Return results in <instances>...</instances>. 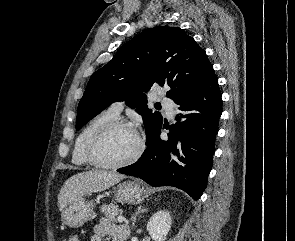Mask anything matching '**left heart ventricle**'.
<instances>
[{"instance_id":"left-heart-ventricle-1","label":"left heart ventricle","mask_w":295,"mask_h":241,"mask_svg":"<svg viewBox=\"0 0 295 241\" xmlns=\"http://www.w3.org/2000/svg\"><path fill=\"white\" fill-rule=\"evenodd\" d=\"M135 134L127 128L110 132L99 146V156L107 162L118 163L129 159L137 150Z\"/></svg>"}]
</instances>
